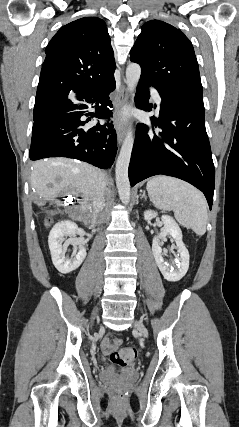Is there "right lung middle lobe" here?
I'll return each instance as SVG.
<instances>
[{
    "label": "right lung middle lobe",
    "mask_w": 239,
    "mask_h": 427,
    "mask_svg": "<svg viewBox=\"0 0 239 427\" xmlns=\"http://www.w3.org/2000/svg\"><path fill=\"white\" fill-rule=\"evenodd\" d=\"M46 100H36L34 106V118L41 112V110L46 106Z\"/></svg>",
    "instance_id": "dd1d6c3e"
}]
</instances>
